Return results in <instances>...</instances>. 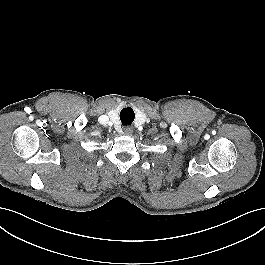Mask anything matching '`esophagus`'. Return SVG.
I'll return each instance as SVG.
<instances>
[{
  "instance_id": "esophagus-1",
  "label": "esophagus",
  "mask_w": 265,
  "mask_h": 265,
  "mask_svg": "<svg viewBox=\"0 0 265 265\" xmlns=\"http://www.w3.org/2000/svg\"><path fill=\"white\" fill-rule=\"evenodd\" d=\"M133 132V129L131 127L124 128V134L131 135Z\"/></svg>"
}]
</instances>
